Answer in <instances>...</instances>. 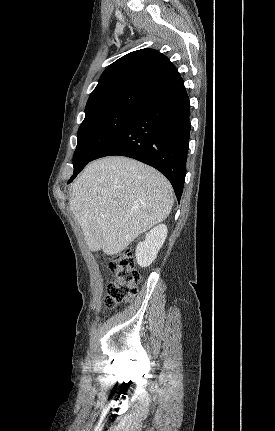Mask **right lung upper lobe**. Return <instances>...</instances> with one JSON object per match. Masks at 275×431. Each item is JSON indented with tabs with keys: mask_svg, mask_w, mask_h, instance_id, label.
<instances>
[{
	"mask_svg": "<svg viewBox=\"0 0 275 431\" xmlns=\"http://www.w3.org/2000/svg\"><path fill=\"white\" fill-rule=\"evenodd\" d=\"M169 59L154 49L131 52L102 73L86 104V116L115 108L139 109L181 84Z\"/></svg>",
	"mask_w": 275,
	"mask_h": 431,
	"instance_id": "right-lung-upper-lobe-1",
	"label": "right lung upper lobe"
}]
</instances>
